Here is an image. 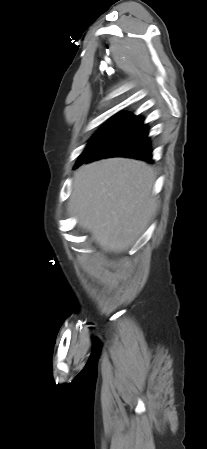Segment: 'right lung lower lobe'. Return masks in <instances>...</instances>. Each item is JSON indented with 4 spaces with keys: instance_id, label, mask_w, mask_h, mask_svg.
Masks as SVG:
<instances>
[{
    "instance_id": "obj_1",
    "label": "right lung lower lobe",
    "mask_w": 207,
    "mask_h": 449,
    "mask_svg": "<svg viewBox=\"0 0 207 449\" xmlns=\"http://www.w3.org/2000/svg\"><path fill=\"white\" fill-rule=\"evenodd\" d=\"M147 135L148 129L146 125L143 124V119L135 117L126 127L115 134L100 149L81 164L101 158L118 156L150 162L152 161V150Z\"/></svg>"
}]
</instances>
